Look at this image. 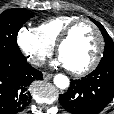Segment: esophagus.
Returning a JSON list of instances; mask_svg holds the SVG:
<instances>
[{
    "mask_svg": "<svg viewBox=\"0 0 114 114\" xmlns=\"http://www.w3.org/2000/svg\"><path fill=\"white\" fill-rule=\"evenodd\" d=\"M52 77H53V74L43 72V78H44L45 80L51 79Z\"/></svg>",
    "mask_w": 114,
    "mask_h": 114,
    "instance_id": "34e87169",
    "label": "esophagus"
}]
</instances>
